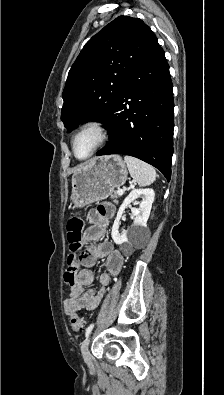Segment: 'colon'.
<instances>
[{"label":"colon","mask_w":224,"mask_h":395,"mask_svg":"<svg viewBox=\"0 0 224 395\" xmlns=\"http://www.w3.org/2000/svg\"><path fill=\"white\" fill-rule=\"evenodd\" d=\"M83 221L78 216L71 217L67 222V240L70 244V250L73 253L78 252L81 249V239L83 230ZM78 266L74 255H71L68 259V267L64 272V280L67 284L72 285L77 276ZM86 324V319L77 314H73L70 317V328L74 332H81Z\"/></svg>","instance_id":"colon-1"}]
</instances>
